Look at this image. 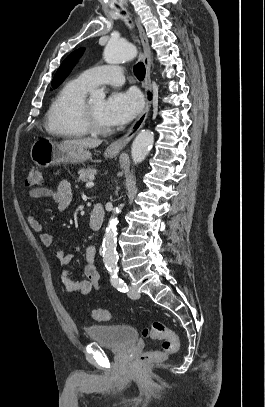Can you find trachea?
Instances as JSON below:
<instances>
[{
	"instance_id": "1",
	"label": "trachea",
	"mask_w": 265,
	"mask_h": 407,
	"mask_svg": "<svg viewBox=\"0 0 265 407\" xmlns=\"http://www.w3.org/2000/svg\"><path fill=\"white\" fill-rule=\"evenodd\" d=\"M134 74L138 80H143L145 77V67L142 62H139L134 67Z\"/></svg>"
}]
</instances>
